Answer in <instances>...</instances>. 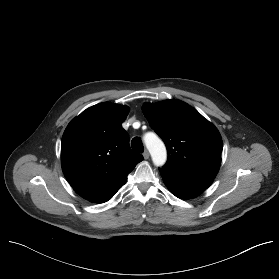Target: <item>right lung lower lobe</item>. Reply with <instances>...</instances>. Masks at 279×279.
Instances as JSON below:
<instances>
[{
    "instance_id": "right-lung-lower-lobe-1",
    "label": "right lung lower lobe",
    "mask_w": 279,
    "mask_h": 279,
    "mask_svg": "<svg viewBox=\"0 0 279 279\" xmlns=\"http://www.w3.org/2000/svg\"><path fill=\"white\" fill-rule=\"evenodd\" d=\"M115 194V193H114ZM113 194V195H114ZM113 195H111V196H109V197H107V198H105V199H103V200H101L100 202H98V203H104V202H107L108 200H110L112 197H113Z\"/></svg>"
}]
</instances>
